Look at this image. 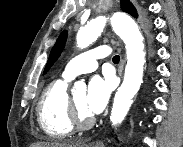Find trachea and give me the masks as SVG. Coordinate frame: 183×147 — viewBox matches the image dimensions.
<instances>
[{"instance_id": "1", "label": "trachea", "mask_w": 183, "mask_h": 147, "mask_svg": "<svg viewBox=\"0 0 183 147\" xmlns=\"http://www.w3.org/2000/svg\"><path fill=\"white\" fill-rule=\"evenodd\" d=\"M112 60H113L114 63H118L120 61V56L115 55Z\"/></svg>"}]
</instances>
